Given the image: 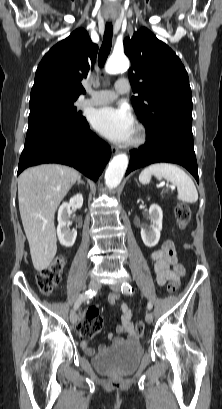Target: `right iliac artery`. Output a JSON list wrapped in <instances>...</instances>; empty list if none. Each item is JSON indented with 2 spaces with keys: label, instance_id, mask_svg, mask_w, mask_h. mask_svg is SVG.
<instances>
[{
  "label": "right iliac artery",
  "instance_id": "1",
  "mask_svg": "<svg viewBox=\"0 0 222 409\" xmlns=\"http://www.w3.org/2000/svg\"><path fill=\"white\" fill-rule=\"evenodd\" d=\"M96 294H97V291H94V290L93 291L88 290V291L83 292L82 294H80L79 297L77 298L75 304H74V310H77L83 301H85L87 299H91Z\"/></svg>",
  "mask_w": 222,
  "mask_h": 409
}]
</instances>
